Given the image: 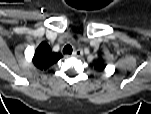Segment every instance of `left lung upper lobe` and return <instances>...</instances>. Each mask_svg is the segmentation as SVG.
<instances>
[{"label": "left lung upper lobe", "mask_w": 151, "mask_h": 114, "mask_svg": "<svg viewBox=\"0 0 151 114\" xmlns=\"http://www.w3.org/2000/svg\"><path fill=\"white\" fill-rule=\"evenodd\" d=\"M97 67L100 69V71H103L105 68V65L103 64V61L99 59Z\"/></svg>", "instance_id": "left-lung-upper-lobe-1"}]
</instances>
